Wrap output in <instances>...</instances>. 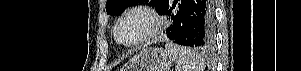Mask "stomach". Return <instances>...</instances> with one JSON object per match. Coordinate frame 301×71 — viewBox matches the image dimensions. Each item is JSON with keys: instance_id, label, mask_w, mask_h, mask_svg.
Listing matches in <instances>:
<instances>
[{"instance_id": "stomach-1", "label": "stomach", "mask_w": 301, "mask_h": 71, "mask_svg": "<svg viewBox=\"0 0 301 71\" xmlns=\"http://www.w3.org/2000/svg\"><path fill=\"white\" fill-rule=\"evenodd\" d=\"M172 63L166 50L147 47L129 60L122 71H170Z\"/></svg>"}]
</instances>
